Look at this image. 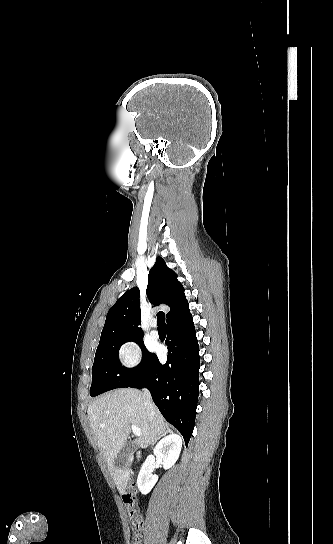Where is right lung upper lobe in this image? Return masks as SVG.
Masks as SVG:
<instances>
[{
    "label": "right lung upper lobe",
    "mask_w": 333,
    "mask_h": 544,
    "mask_svg": "<svg viewBox=\"0 0 333 544\" xmlns=\"http://www.w3.org/2000/svg\"><path fill=\"white\" fill-rule=\"evenodd\" d=\"M148 300L154 305L166 304L170 307L167 323L188 314L189 306L184 288L177 280L176 273L167 267L162 257H157L148 275L146 289ZM140 291L134 287L126 291L108 311L101 339L117 336L140 337L141 325Z\"/></svg>",
    "instance_id": "obj_1"
}]
</instances>
